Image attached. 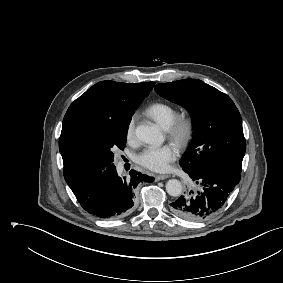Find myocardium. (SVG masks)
<instances>
[{
  "label": "myocardium",
  "instance_id": "myocardium-1",
  "mask_svg": "<svg viewBox=\"0 0 283 283\" xmlns=\"http://www.w3.org/2000/svg\"><path fill=\"white\" fill-rule=\"evenodd\" d=\"M194 123L192 118L179 115L168 128V137L178 146L185 147L192 139Z\"/></svg>",
  "mask_w": 283,
  "mask_h": 283
}]
</instances>
